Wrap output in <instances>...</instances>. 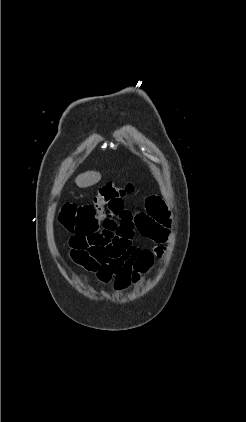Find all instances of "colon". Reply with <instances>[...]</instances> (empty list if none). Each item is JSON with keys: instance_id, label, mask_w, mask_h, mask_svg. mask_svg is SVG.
I'll list each match as a JSON object with an SVG mask.
<instances>
[{"instance_id": "1", "label": "colon", "mask_w": 246, "mask_h": 422, "mask_svg": "<svg viewBox=\"0 0 246 422\" xmlns=\"http://www.w3.org/2000/svg\"><path fill=\"white\" fill-rule=\"evenodd\" d=\"M134 191L131 183L120 186L109 182L101 187L88 204L64 203L60 209L59 221L70 232L78 235H88L94 232L101 224L102 219L110 208L119 210L122 199ZM161 250H140L134 261L133 282L145 273L153 264L154 255H161Z\"/></svg>"}]
</instances>
